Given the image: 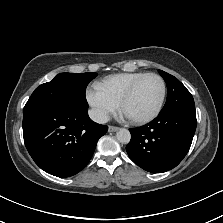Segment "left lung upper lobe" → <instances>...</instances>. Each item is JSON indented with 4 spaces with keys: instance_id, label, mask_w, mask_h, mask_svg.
<instances>
[{
    "instance_id": "obj_1",
    "label": "left lung upper lobe",
    "mask_w": 223,
    "mask_h": 223,
    "mask_svg": "<svg viewBox=\"0 0 223 223\" xmlns=\"http://www.w3.org/2000/svg\"><path fill=\"white\" fill-rule=\"evenodd\" d=\"M160 75L167 85V100L160 113L172 110L187 109L195 110V103L191 93L174 76L159 70Z\"/></svg>"
}]
</instances>
